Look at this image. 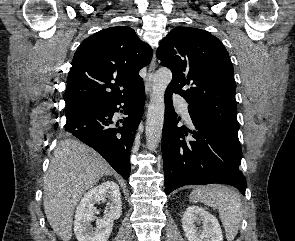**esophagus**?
<instances>
[{
	"label": "esophagus",
	"instance_id": "1",
	"mask_svg": "<svg viewBox=\"0 0 295 241\" xmlns=\"http://www.w3.org/2000/svg\"><path fill=\"white\" fill-rule=\"evenodd\" d=\"M155 70H156V57L154 55L149 66L148 74H147V78L145 82V91L147 95H151L152 93L153 78H154Z\"/></svg>",
	"mask_w": 295,
	"mask_h": 241
}]
</instances>
